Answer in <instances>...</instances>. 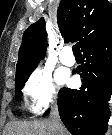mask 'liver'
Instances as JSON below:
<instances>
[{
    "label": "liver",
    "mask_w": 112,
    "mask_h": 135,
    "mask_svg": "<svg viewBox=\"0 0 112 135\" xmlns=\"http://www.w3.org/2000/svg\"><path fill=\"white\" fill-rule=\"evenodd\" d=\"M5 135H54V129L50 120L34 122H13L8 124ZM61 135H69L63 127Z\"/></svg>",
    "instance_id": "liver-1"
}]
</instances>
